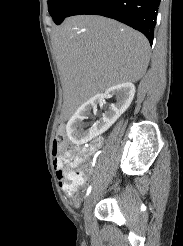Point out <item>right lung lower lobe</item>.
Returning <instances> with one entry per match:
<instances>
[{
	"label": "right lung lower lobe",
	"mask_w": 183,
	"mask_h": 246,
	"mask_svg": "<svg viewBox=\"0 0 183 246\" xmlns=\"http://www.w3.org/2000/svg\"><path fill=\"white\" fill-rule=\"evenodd\" d=\"M160 0H79L67 17L102 15L118 20L143 33L153 43Z\"/></svg>",
	"instance_id": "1"
}]
</instances>
